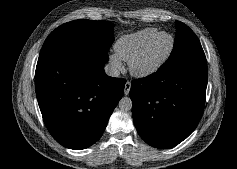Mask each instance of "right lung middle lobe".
<instances>
[{
	"mask_svg": "<svg viewBox=\"0 0 237 169\" xmlns=\"http://www.w3.org/2000/svg\"><path fill=\"white\" fill-rule=\"evenodd\" d=\"M114 25L108 21L75 20L65 23L45 40L42 49L85 46L108 52L114 41Z\"/></svg>",
	"mask_w": 237,
	"mask_h": 169,
	"instance_id": "obj_1",
	"label": "right lung middle lobe"
}]
</instances>
